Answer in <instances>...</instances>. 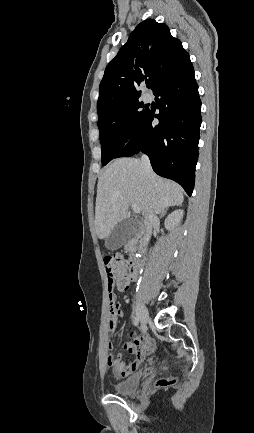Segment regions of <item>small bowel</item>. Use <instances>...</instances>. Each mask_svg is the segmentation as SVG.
<instances>
[{
  "mask_svg": "<svg viewBox=\"0 0 254 433\" xmlns=\"http://www.w3.org/2000/svg\"><path fill=\"white\" fill-rule=\"evenodd\" d=\"M128 288L129 283L117 286L119 291H126ZM108 291L109 300L112 304L110 309L109 331L113 333L121 316V308L120 305L115 301L114 287L111 291L108 287ZM130 339V342L123 345L124 349L133 356V359L129 362H125L123 360L121 353H113L114 345L112 343H108L107 345L109 351L107 355V365L112 368L113 373L117 378H125L134 374L144 358L153 350L152 342L148 338L136 332L130 333Z\"/></svg>",
  "mask_w": 254,
  "mask_h": 433,
  "instance_id": "obj_1",
  "label": "small bowel"
}]
</instances>
